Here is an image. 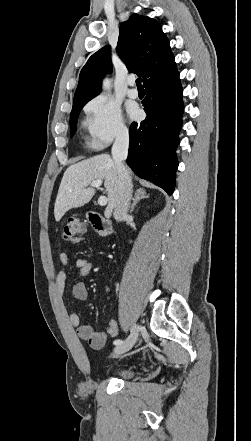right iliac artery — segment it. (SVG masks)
<instances>
[{
  "mask_svg": "<svg viewBox=\"0 0 251 441\" xmlns=\"http://www.w3.org/2000/svg\"><path fill=\"white\" fill-rule=\"evenodd\" d=\"M115 345H121L122 343H124L122 340L117 339L113 342Z\"/></svg>",
  "mask_w": 251,
  "mask_h": 441,
  "instance_id": "82829eb1",
  "label": "right iliac artery"
}]
</instances>
